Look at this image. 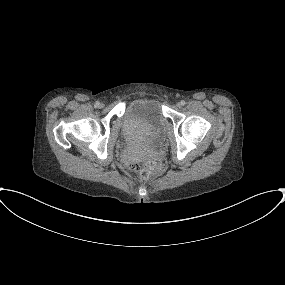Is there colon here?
Masks as SVG:
<instances>
[{
  "instance_id": "5ec220e1",
  "label": "colon",
  "mask_w": 285,
  "mask_h": 285,
  "mask_svg": "<svg viewBox=\"0 0 285 285\" xmlns=\"http://www.w3.org/2000/svg\"><path fill=\"white\" fill-rule=\"evenodd\" d=\"M130 168L135 170L138 169L142 179H148L151 177L159 168V165L154 160H146L142 164H130Z\"/></svg>"
}]
</instances>
